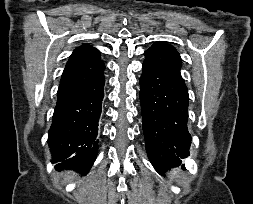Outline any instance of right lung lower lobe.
Segmentation results:
<instances>
[{"mask_svg":"<svg viewBox=\"0 0 253 204\" xmlns=\"http://www.w3.org/2000/svg\"><path fill=\"white\" fill-rule=\"evenodd\" d=\"M105 64L97 49L67 64L57 92L49 130L52 162L57 166L89 171L98 152V121L104 97Z\"/></svg>","mask_w":253,"mask_h":204,"instance_id":"98d812e1","label":"right lung lower lobe"}]
</instances>
